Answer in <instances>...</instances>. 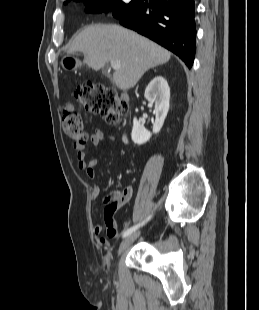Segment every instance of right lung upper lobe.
<instances>
[{"label":"right lung upper lobe","mask_w":259,"mask_h":310,"mask_svg":"<svg viewBox=\"0 0 259 310\" xmlns=\"http://www.w3.org/2000/svg\"><path fill=\"white\" fill-rule=\"evenodd\" d=\"M67 1H70V0H66V2H67ZM91 1H95V0H91Z\"/></svg>","instance_id":"cb5924a9"}]
</instances>
